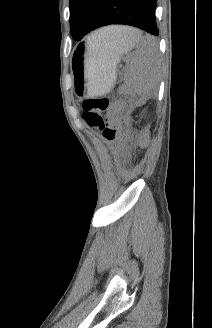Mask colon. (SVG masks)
<instances>
[{
    "label": "colon",
    "mask_w": 212,
    "mask_h": 328,
    "mask_svg": "<svg viewBox=\"0 0 212 328\" xmlns=\"http://www.w3.org/2000/svg\"><path fill=\"white\" fill-rule=\"evenodd\" d=\"M120 105V102H111L101 96L87 98L83 103L84 121L110 144H115L125 132L122 123L115 117Z\"/></svg>",
    "instance_id": "1"
}]
</instances>
